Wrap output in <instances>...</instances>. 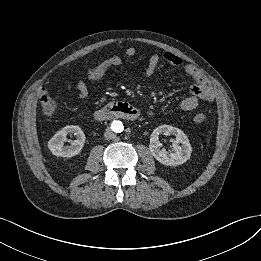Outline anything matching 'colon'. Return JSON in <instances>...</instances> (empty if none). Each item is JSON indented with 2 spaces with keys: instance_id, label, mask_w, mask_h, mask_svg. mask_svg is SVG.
Wrapping results in <instances>:
<instances>
[{
  "instance_id": "obj_1",
  "label": "colon",
  "mask_w": 261,
  "mask_h": 261,
  "mask_svg": "<svg viewBox=\"0 0 261 261\" xmlns=\"http://www.w3.org/2000/svg\"><path fill=\"white\" fill-rule=\"evenodd\" d=\"M210 84L208 78L205 76L202 80L194 82L190 87L191 94L197 95L205 90ZM39 104L42 111L46 114L53 113L57 108V99L50 92H42L39 97ZM195 121L197 123H203L206 119L205 115L198 113L195 115Z\"/></svg>"
}]
</instances>
